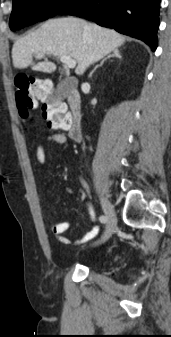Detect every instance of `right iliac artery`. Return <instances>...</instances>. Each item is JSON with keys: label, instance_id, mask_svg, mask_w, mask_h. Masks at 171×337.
I'll return each mask as SVG.
<instances>
[{"label": "right iliac artery", "instance_id": "82829eb1", "mask_svg": "<svg viewBox=\"0 0 171 337\" xmlns=\"http://www.w3.org/2000/svg\"><path fill=\"white\" fill-rule=\"evenodd\" d=\"M82 183H83L84 187L86 188L87 187L86 183L84 181H82ZM99 220H100V222L105 223L107 221V217L102 215V216L99 217Z\"/></svg>", "mask_w": 171, "mask_h": 337}]
</instances>
